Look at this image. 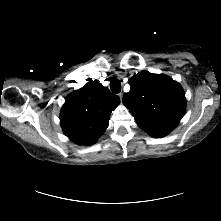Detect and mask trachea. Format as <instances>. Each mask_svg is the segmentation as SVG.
<instances>
[{
  "label": "trachea",
  "mask_w": 221,
  "mask_h": 221,
  "mask_svg": "<svg viewBox=\"0 0 221 221\" xmlns=\"http://www.w3.org/2000/svg\"><path fill=\"white\" fill-rule=\"evenodd\" d=\"M110 89L113 93H119L121 91V83L117 78L111 79Z\"/></svg>",
  "instance_id": "3493384b"
}]
</instances>
